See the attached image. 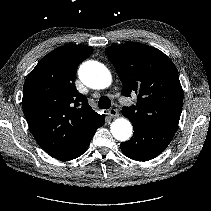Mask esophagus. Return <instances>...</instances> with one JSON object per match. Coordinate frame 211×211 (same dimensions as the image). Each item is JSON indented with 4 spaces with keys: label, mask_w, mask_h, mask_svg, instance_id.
<instances>
[{
    "label": "esophagus",
    "mask_w": 211,
    "mask_h": 211,
    "mask_svg": "<svg viewBox=\"0 0 211 211\" xmlns=\"http://www.w3.org/2000/svg\"><path fill=\"white\" fill-rule=\"evenodd\" d=\"M108 114H109L111 117H117V116H118V111H117V109H115V108H111V109L108 111Z\"/></svg>",
    "instance_id": "esophagus-1"
}]
</instances>
